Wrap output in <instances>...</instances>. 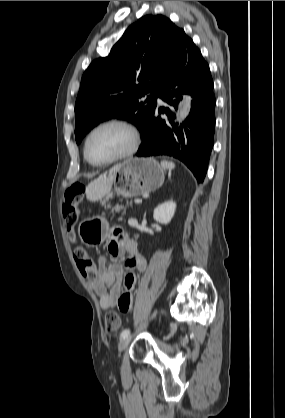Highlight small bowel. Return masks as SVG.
I'll use <instances>...</instances> for the list:
<instances>
[{
  "mask_svg": "<svg viewBox=\"0 0 285 418\" xmlns=\"http://www.w3.org/2000/svg\"><path fill=\"white\" fill-rule=\"evenodd\" d=\"M111 256L119 258L126 252L129 258L124 265L108 263L105 256L99 258L98 276L92 288L99 298L103 310L118 308L128 313L133 307L138 274L147 268L146 259L137 251L135 243L125 234L117 232L107 245Z\"/></svg>",
  "mask_w": 285,
  "mask_h": 418,
  "instance_id": "obj_1",
  "label": "small bowel"
}]
</instances>
